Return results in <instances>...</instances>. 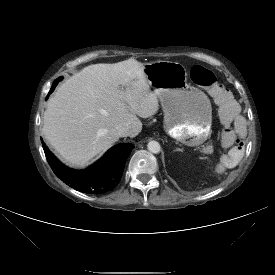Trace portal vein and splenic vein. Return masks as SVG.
I'll list each match as a JSON object with an SVG mask.
<instances>
[{"mask_svg":"<svg viewBox=\"0 0 275 275\" xmlns=\"http://www.w3.org/2000/svg\"><path fill=\"white\" fill-rule=\"evenodd\" d=\"M204 152H205V153H211V152H212V146L206 147V148L204 149Z\"/></svg>","mask_w":275,"mask_h":275,"instance_id":"portal-vein-and-splenic-vein-1","label":"portal vein and splenic vein"}]
</instances>
